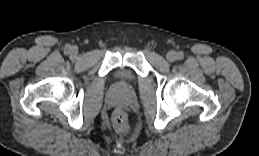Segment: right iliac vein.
<instances>
[{"instance_id":"1","label":"right iliac vein","mask_w":259,"mask_h":156,"mask_svg":"<svg viewBox=\"0 0 259 156\" xmlns=\"http://www.w3.org/2000/svg\"><path fill=\"white\" fill-rule=\"evenodd\" d=\"M70 54H71V56L76 57L78 54V49L76 47H72L70 49Z\"/></svg>"}]
</instances>
